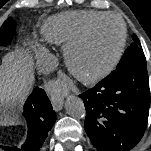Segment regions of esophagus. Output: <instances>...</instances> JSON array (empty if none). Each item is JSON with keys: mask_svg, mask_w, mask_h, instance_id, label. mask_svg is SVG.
Segmentation results:
<instances>
[{"mask_svg": "<svg viewBox=\"0 0 151 151\" xmlns=\"http://www.w3.org/2000/svg\"><path fill=\"white\" fill-rule=\"evenodd\" d=\"M50 99H51V103H52V106L53 108L56 110V111H60L63 107V99L62 97L57 94V93H52L50 95Z\"/></svg>", "mask_w": 151, "mask_h": 151, "instance_id": "obj_1", "label": "esophagus"}]
</instances>
